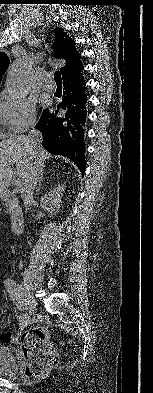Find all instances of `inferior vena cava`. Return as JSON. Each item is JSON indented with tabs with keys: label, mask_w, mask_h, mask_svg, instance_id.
Segmentation results:
<instances>
[{
	"label": "inferior vena cava",
	"mask_w": 153,
	"mask_h": 393,
	"mask_svg": "<svg viewBox=\"0 0 153 393\" xmlns=\"http://www.w3.org/2000/svg\"><path fill=\"white\" fill-rule=\"evenodd\" d=\"M27 137L30 148L32 149V154L36 157L33 158L34 167L31 169L30 174L24 179L22 185L21 197L24 200L33 198L37 183L43 173V163L46 160L45 153L42 151V145L40 144L42 134L37 129L32 128L28 132Z\"/></svg>",
	"instance_id": "inferior-vena-cava-1"
}]
</instances>
